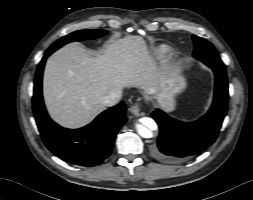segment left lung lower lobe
I'll return each instance as SVG.
<instances>
[{
  "label": "left lung lower lobe",
  "instance_id": "0a47b994",
  "mask_svg": "<svg viewBox=\"0 0 253 200\" xmlns=\"http://www.w3.org/2000/svg\"><path fill=\"white\" fill-rule=\"evenodd\" d=\"M212 70L215 75L213 104L199 120L184 123L160 109L152 113L160 130L157 143L151 149L155 158L178 163L199 154L216 140L227 112L229 94L226 71Z\"/></svg>",
  "mask_w": 253,
  "mask_h": 200
}]
</instances>
